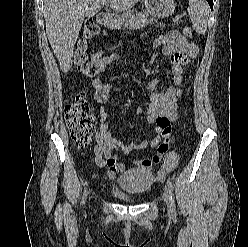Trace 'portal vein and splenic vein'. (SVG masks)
I'll use <instances>...</instances> for the list:
<instances>
[{"instance_id":"portal-vein-and-splenic-vein-1","label":"portal vein and splenic vein","mask_w":248,"mask_h":247,"mask_svg":"<svg viewBox=\"0 0 248 247\" xmlns=\"http://www.w3.org/2000/svg\"><path fill=\"white\" fill-rule=\"evenodd\" d=\"M107 3H108V1H107V0H105V1H104V4H105V5H107Z\"/></svg>"}]
</instances>
